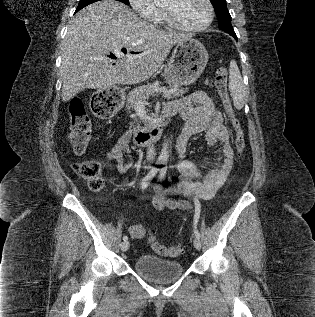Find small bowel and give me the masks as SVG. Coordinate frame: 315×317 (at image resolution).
<instances>
[{"label": "small bowel", "mask_w": 315, "mask_h": 317, "mask_svg": "<svg viewBox=\"0 0 315 317\" xmlns=\"http://www.w3.org/2000/svg\"><path fill=\"white\" fill-rule=\"evenodd\" d=\"M165 108L178 113L185 122L176 144V168L181 178L171 187L154 185L150 206L157 211L187 210L191 207L189 198L211 199L226 181L234 158L232 135L224 124L223 114L203 91L174 100ZM201 132L205 133L207 148L217 149V155L208 168L184 158L189 139ZM129 141L130 134H124L106 154L107 161L115 162L117 170L121 173L127 172L132 166ZM169 194H182L186 199L167 198ZM129 233L132 238L141 239L145 235V227L141 223L133 224L129 228Z\"/></svg>", "instance_id": "c3829d8e"}]
</instances>
